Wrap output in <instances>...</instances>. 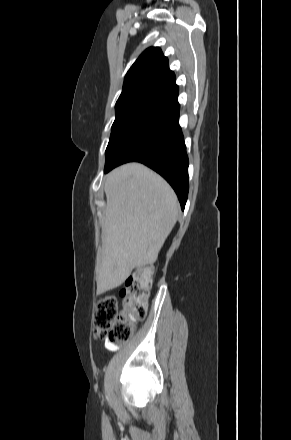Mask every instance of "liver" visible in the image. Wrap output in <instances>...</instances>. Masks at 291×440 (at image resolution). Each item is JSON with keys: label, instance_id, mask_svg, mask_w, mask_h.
<instances>
[{"label": "liver", "instance_id": "liver-1", "mask_svg": "<svg viewBox=\"0 0 291 440\" xmlns=\"http://www.w3.org/2000/svg\"><path fill=\"white\" fill-rule=\"evenodd\" d=\"M105 194L99 294L120 286L135 267L157 260L179 212L170 185L140 163L111 171L106 177Z\"/></svg>", "mask_w": 291, "mask_h": 440}]
</instances>
